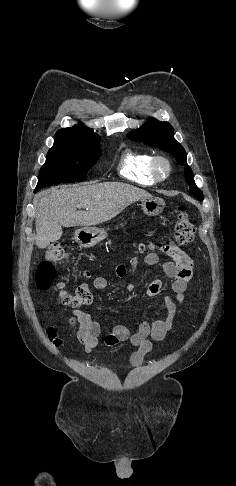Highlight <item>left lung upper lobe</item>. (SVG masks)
<instances>
[{"instance_id": "5c2ea615", "label": "left lung upper lobe", "mask_w": 236, "mask_h": 486, "mask_svg": "<svg viewBox=\"0 0 236 486\" xmlns=\"http://www.w3.org/2000/svg\"><path fill=\"white\" fill-rule=\"evenodd\" d=\"M173 127L167 122L152 119L140 129L128 134V138L136 142H144L171 153L179 165H184V173L187 184L190 186V194L199 200H203V194L195 185L193 173L186 162V152L182 145L174 137Z\"/></svg>"}]
</instances>
